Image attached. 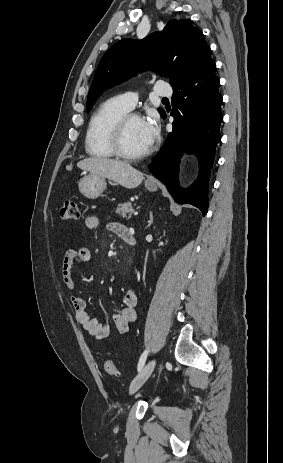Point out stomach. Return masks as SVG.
<instances>
[{"label":"stomach","mask_w":283,"mask_h":463,"mask_svg":"<svg viewBox=\"0 0 283 463\" xmlns=\"http://www.w3.org/2000/svg\"><path fill=\"white\" fill-rule=\"evenodd\" d=\"M145 187L148 191L154 192L157 190L156 182H145ZM106 188L105 178L97 175H88L83 177L79 182V191L81 194L89 199L98 198Z\"/></svg>","instance_id":"obj_1"}]
</instances>
